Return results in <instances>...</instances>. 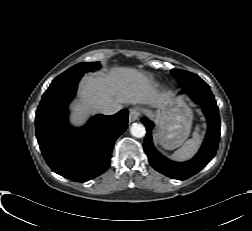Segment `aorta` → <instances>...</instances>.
I'll return each instance as SVG.
<instances>
[{"label":"aorta","mask_w":252,"mask_h":231,"mask_svg":"<svg viewBox=\"0 0 252 231\" xmlns=\"http://www.w3.org/2000/svg\"><path fill=\"white\" fill-rule=\"evenodd\" d=\"M130 132H131L132 136H134L136 138H142L146 134V129H145L144 125H142L140 123H134L130 127Z\"/></svg>","instance_id":"1"}]
</instances>
